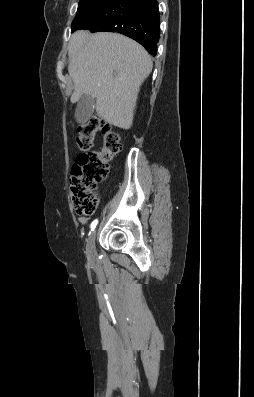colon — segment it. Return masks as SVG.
Returning <instances> with one entry per match:
<instances>
[{
	"label": "colon",
	"mask_w": 254,
	"mask_h": 397,
	"mask_svg": "<svg viewBox=\"0 0 254 397\" xmlns=\"http://www.w3.org/2000/svg\"><path fill=\"white\" fill-rule=\"evenodd\" d=\"M98 133L103 137V146L91 150ZM76 144L80 153L71 172L72 200L79 215H92L98 206L96 188L106 179L110 161L121 150V137L110 123L92 116L79 126Z\"/></svg>",
	"instance_id": "5ec220e1"
}]
</instances>
